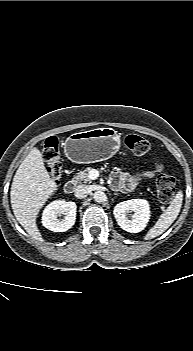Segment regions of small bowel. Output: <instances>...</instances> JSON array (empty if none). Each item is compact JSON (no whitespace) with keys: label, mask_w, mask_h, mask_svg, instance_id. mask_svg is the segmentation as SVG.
I'll return each mask as SVG.
<instances>
[{"label":"small bowel","mask_w":193,"mask_h":351,"mask_svg":"<svg viewBox=\"0 0 193 351\" xmlns=\"http://www.w3.org/2000/svg\"><path fill=\"white\" fill-rule=\"evenodd\" d=\"M151 172H145L141 175L143 178L151 177ZM141 177H133L124 172L115 170L111 173V183L114 187L121 190H132L134 189Z\"/></svg>","instance_id":"1"}]
</instances>
